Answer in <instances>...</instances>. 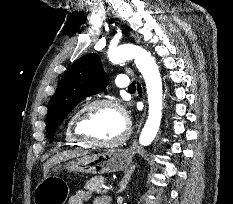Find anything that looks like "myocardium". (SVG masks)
<instances>
[{
    "mask_svg": "<svg viewBox=\"0 0 233 204\" xmlns=\"http://www.w3.org/2000/svg\"><path fill=\"white\" fill-rule=\"evenodd\" d=\"M98 107L114 108L123 116L124 121H125V130L120 137L114 140H111V141H96L94 139L87 137L80 131V124L84 116L92 109H95ZM71 130L75 138H77L78 140L82 141L83 143L87 145L110 148V147H116L124 143L129 138L130 133H131V124H130V120L128 118L126 110L118 101H115L112 99H98V100H94V101H91L85 104L82 108H80L74 114L73 119H72Z\"/></svg>",
    "mask_w": 233,
    "mask_h": 204,
    "instance_id": "f54148a6",
    "label": "myocardium"
}]
</instances>
